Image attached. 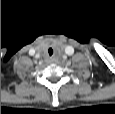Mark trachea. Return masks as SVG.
<instances>
[{
    "instance_id": "3493384b",
    "label": "trachea",
    "mask_w": 115,
    "mask_h": 114,
    "mask_svg": "<svg viewBox=\"0 0 115 114\" xmlns=\"http://www.w3.org/2000/svg\"><path fill=\"white\" fill-rule=\"evenodd\" d=\"M48 53H49L50 56H52V55H53V49H52V48H49V49H48Z\"/></svg>"
}]
</instances>
